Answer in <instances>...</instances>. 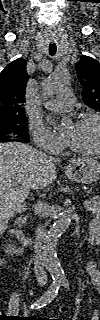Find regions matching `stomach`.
Returning <instances> with one entry per match:
<instances>
[{
    "instance_id": "stomach-1",
    "label": "stomach",
    "mask_w": 100,
    "mask_h": 320,
    "mask_svg": "<svg viewBox=\"0 0 100 320\" xmlns=\"http://www.w3.org/2000/svg\"><path fill=\"white\" fill-rule=\"evenodd\" d=\"M66 175L77 183H92L100 178V162L89 157L79 158L67 166Z\"/></svg>"
}]
</instances>
